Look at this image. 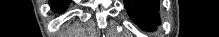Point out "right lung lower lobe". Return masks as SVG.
Instances as JSON below:
<instances>
[{
	"instance_id": "1",
	"label": "right lung lower lobe",
	"mask_w": 219,
	"mask_h": 37,
	"mask_svg": "<svg viewBox=\"0 0 219 37\" xmlns=\"http://www.w3.org/2000/svg\"><path fill=\"white\" fill-rule=\"evenodd\" d=\"M51 5L52 7L55 9V10H58V11H62L66 8V6L68 5V2L66 1H56V2H51Z\"/></svg>"
}]
</instances>
